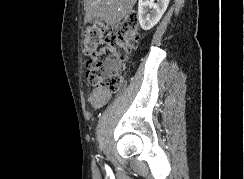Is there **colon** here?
Wrapping results in <instances>:
<instances>
[{
  "label": "colon",
  "instance_id": "1",
  "mask_svg": "<svg viewBox=\"0 0 244 179\" xmlns=\"http://www.w3.org/2000/svg\"><path fill=\"white\" fill-rule=\"evenodd\" d=\"M139 35V26L130 17L112 26L101 23L86 28L83 53L88 83L101 93H116L121 85L118 64L138 46Z\"/></svg>",
  "mask_w": 244,
  "mask_h": 179
}]
</instances>
